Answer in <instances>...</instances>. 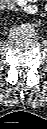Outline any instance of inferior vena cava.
<instances>
[{"mask_svg": "<svg viewBox=\"0 0 47 129\" xmlns=\"http://www.w3.org/2000/svg\"><path fill=\"white\" fill-rule=\"evenodd\" d=\"M18 36H19L18 30L16 28L11 29L9 37L14 39L17 38Z\"/></svg>", "mask_w": 47, "mask_h": 129, "instance_id": "602c4592", "label": "inferior vena cava"}]
</instances>
